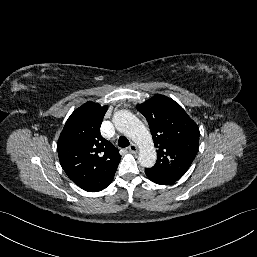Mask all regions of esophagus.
I'll return each instance as SVG.
<instances>
[{"label": "esophagus", "instance_id": "1", "mask_svg": "<svg viewBox=\"0 0 257 257\" xmlns=\"http://www.w3.org/2000/svg\"><path fill=\"white\" fill-rule=\"evenodd\" d=\"M128 150H129L131 153H137L138 148H137L136 144L132 143V144L128 147Z\"/></svg>", "mask_w": 257, "mask_h": 257}]
</instances>
